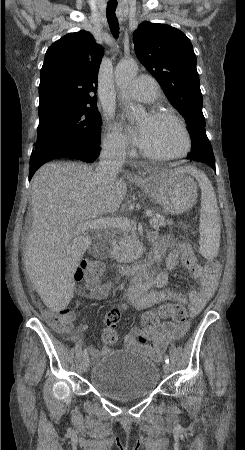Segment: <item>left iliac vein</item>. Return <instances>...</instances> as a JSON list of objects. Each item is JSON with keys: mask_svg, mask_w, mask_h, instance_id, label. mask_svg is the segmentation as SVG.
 <instances>
[{"mask_svg": "<svg viewBox=\"0 0 245 450\" xmlns=\"http://www.w3.org/2000/svg\"><path fill=\"white\" fill-rule=\"evenodd\" d=\"M163 371H164L165 374H168V373H169V371H170V366H169L168 363H164V365H163Z\"/></svg>", "mask_w": 245, "mask_h": 450, "instance_id": "1", "label": "left iliac vein"}]
</instances>
